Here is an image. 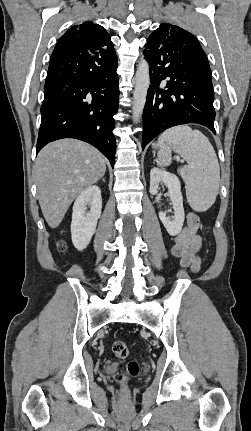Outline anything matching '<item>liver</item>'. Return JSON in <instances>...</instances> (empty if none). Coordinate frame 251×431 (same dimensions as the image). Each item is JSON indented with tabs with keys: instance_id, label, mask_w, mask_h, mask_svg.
<instances>
[{
	"instance_id": "liver-1",
	"label": "liver",
	"mask_w": 251,
	"mask_h": 431,
	"mask_svg": "<svg viewBox=\"0 0 251 431\" xmlns=\"http://www.w3.org/2000/svg\"><path fill=\"white\" fill-rule=\"evenodd\" d=\"M106 172L105 157L76 139L46 145L35 164L37 194L43 216L51 228L62 222L69 206Z\"/></svg>"
}]
</instances>
